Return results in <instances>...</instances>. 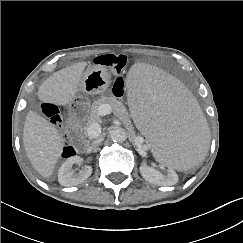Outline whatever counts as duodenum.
Returning a JSON list of instances; mask_svg holds the SVG:
<instances>
[{
    "mask_svg": "<svg viewBox=\"0 0 243 243\" xmlns=\"http://www.w3.org/2000/svg\"><path fill=\"white\" fill-rule=\"evenodd\" d=\"M68 133L71 137L76 138L78 142V149L83 150L86 148L87 143L80 137V128L78 121L75 118H73L68 124Z\"/></svg>",
    "mask_w": 243,
    "mask_h": 243,
    "instance_id": "1",
    "label": "duodenum"
}]
</instances>
